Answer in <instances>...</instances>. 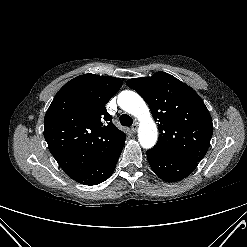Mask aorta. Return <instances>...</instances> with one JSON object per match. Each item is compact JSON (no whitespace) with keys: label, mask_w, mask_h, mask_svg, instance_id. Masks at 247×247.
Segmentation results:
<instances>
[{"label":"aorta","mask_w":247,"mask_h":247,"mask_svg":"<svg viewBox=\"0 0 247 247\" xmlns=\"http://www.w3.org/2000/svg\"><path fill=\"white\" fill-rule=\"evenodd\" d=\"M117 101L121 109L139 119L138 140L140 145L145 149L152 148L157 141L158 130L145 101L137 93L127 90L118 95Z\"/></svg>","instance_id":"aorta-1"}]
</instances>
